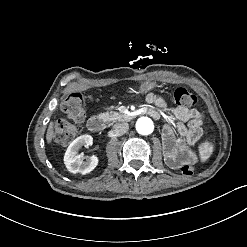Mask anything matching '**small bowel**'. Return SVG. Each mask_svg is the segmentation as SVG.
<instances>
[{"mask_svg": "<svg viewBox=\"0 0 247 247\" xmlns=\"http://www.w3.org/2000/svg\"><path fill=\"white\" fill-rule=\"evenodd\" d=\"M150 104L147 113L150 117L158 119L160 110L166 108L167 102L164 96L157 93H150L146 97ZM171 123L163 128L162 140L164 157L167 164L173 168H178L175 156L178 152L188 150L192 155L191 162L196 160V156L188 149L187 145L196 144L203 134V117L196 109H188L185 106L172 108L170 111Z\"/></svg>", "mask_w": 247, "mask_h": 247, "instance_id": "c3829d8e", "label": "small bowel"}]
</instances>
